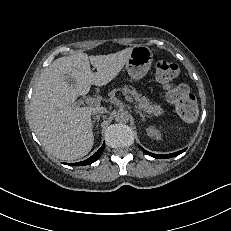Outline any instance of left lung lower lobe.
Segmentation results:
<instances>
[{"instance_id":"1","label":"left lung lower lobe","mask_w":231,"mask_h":231,"mask_svg":"<svg viewBox=\"0 0 231 231\" xmlns=\"http://www.w3.org/2000/svg\"><path fill=\"white\" fill-rule=\"evenodd\" d=\"M140 148H141L146 154H148V155H150V156H152V157H154V158H171V157L177 156V155H179V154H181L182 152L185 151V149H184V150H181V151H179V152L172 153V154L160 155V154H153V153H150V152L144 150L142 147H140Z\"/></svg>"}]
</instances>
